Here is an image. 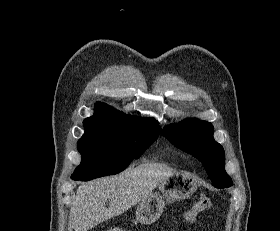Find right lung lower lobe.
<instances>
[{"label": "right lung lower lobe", "instance_id": "right-lung-lower-lobe-1", "mask_svg": "<svg viewBox=\"0 0 280 231\" xmlns=\"http://www.w3.org/2000/svg\"><path fill=\"white\" fill-rule=\"evenodd\" d=\"M71 179H73V180H83V179H81V178H75V177H71ZM84 181V180H83Z\"/></svg>", "mask_w": 280, "mask_h": 231}]
</instances>
